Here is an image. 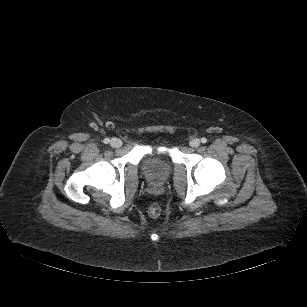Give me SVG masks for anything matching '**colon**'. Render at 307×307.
<instances>
[{
  "instance_id": "colon-1",
  "label": "colon",
  "mask_w": 307,
  "mask_h": 307,
  "mask_svg": "<svg viewBox=\"0 0 307 307\" xmlns=\"http://www.w3.org/2000/svg\"><path fill=\"white\" fill-rule=\"evenodd\" d=\"M161 213V207L158 204H152L149 207V215L151 217H158Z\"/></svg>"
}]
</instances>
